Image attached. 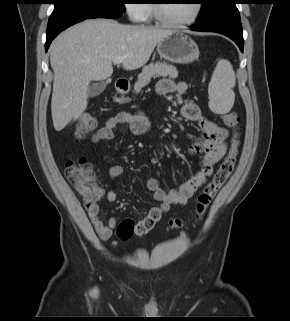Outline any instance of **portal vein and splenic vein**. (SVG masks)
Here are the masks:
<instances>
[{
    "label": "portal vein and splenic vein",
    "mask_w": 290,
    "mask_h": 321,
    "mask_svg": "<svg viewBox=\"0 0 290 321\" xmlns=\"http://www.w3.org/2000/svg\"><path fill=\"white\" fill-rule=\"evenodd\" d=\"M123 59H124L123 57H116L113 59V63L120 64L122 63Z\"/></svg>",
    "instance_id": "obj_1"
}]
</instances>
